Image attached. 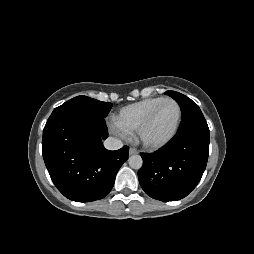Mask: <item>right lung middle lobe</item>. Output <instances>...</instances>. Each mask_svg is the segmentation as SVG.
Masks as SVG:
<instances>
[{
  "label": "right lung middle lobe",
  "instance_id": "1",
  "mask_svg": "<svg viewBox=\"0 0 254 254\" xmlns=\"http://www.w3.org/2000/svg\"><path fill=\"white\" fill-rule=\"evenodd\" d=\"M111 107L112 104L110 102H101L87 96H77L55 108L52 113L70 110L105 118Z\"/></svg>",
  "mask_w": 254,
  "mask_h": 254
}]
</instances>
